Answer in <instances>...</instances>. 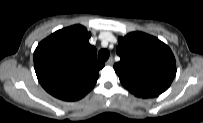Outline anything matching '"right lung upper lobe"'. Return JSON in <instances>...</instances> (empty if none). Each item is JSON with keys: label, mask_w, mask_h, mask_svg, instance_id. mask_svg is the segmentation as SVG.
<instances>
[{"label": "right lung upper lobe", "mask_w": 203, "mask_h": 123, "mask_svg": "<svg viewBox=\"0 0 203 123\" xmlns=\"http://www.w3.org/2000/svg\"><path fill=\"white\" fill-rule=\"evenodd\" d=\"M82 25L60 29L41 41L34 52V69L42 87L66 101L84 97L96 84L104 63L89 44Z\"/></svg>", "instance_id": "obj_1"}]
</instances>
